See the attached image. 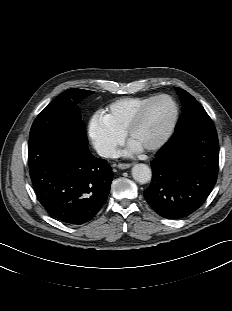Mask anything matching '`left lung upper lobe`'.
<instances>
[{
    "label": "left lung upper lobe",
    "mask_w": 232,
    "mask_h": 311,
    "mask_svg": "<svg viewBox=\"0 0 232 311\" xmlns=\"http://www.w3.org/2000/svg\"><path fill=\"white\" fill-rule=\"evenodd\" d=\"M177 92L183 105V113L179 118L176 128L186 122L208 117L205 109L197 102V100L192 95H190L188 92L181 88H177Z\"/></svg>",
    "instance_id": "5c2ea615"
}]
</instances>
